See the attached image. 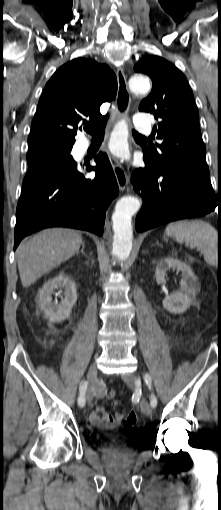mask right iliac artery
Returning <instances> with one entry per match:
<instances>
[{"label":"right iliac artery","mask_w":221,"mask_h":510,"mask_svg":"<svg viewBox=\"0 0 221 510\" xmlns=\"http://www.w3.org/2000/svg\"><path fill=\"white\" fill-rule=\"evenodd\" d=\"M86 390H87V382L86 381H82L80 383L79 397H78V405L80 407H83L85 405V393H86Z\"/></svg>","instance_id":"1"}]
</instances>
